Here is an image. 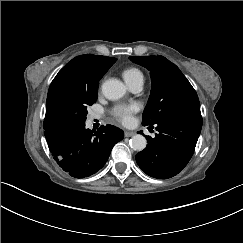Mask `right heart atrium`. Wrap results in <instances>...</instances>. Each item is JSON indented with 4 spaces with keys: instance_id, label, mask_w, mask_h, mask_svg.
I'll return each instance as SVG.
<instances>
[{
    "instance_id": "d8ad5b80",
    "label": "right heart atrium",
    "mask_w": 243,
    "mask_h": 243,
    "mask_svg": "<svg viewBox=\"0 0 243 243\" xmlns=\"http://www.w3.org/2000/svg\"><path fill=\"white\" fill-rule=\"evenodd\" d=\"M101 86H102V81L100 82V85H99V91H101Z\"/></svg>"
}]
</instances>
